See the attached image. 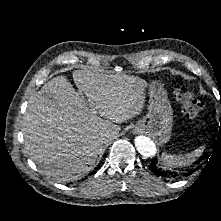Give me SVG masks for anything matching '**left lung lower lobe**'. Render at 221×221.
Segmentation results:
<instances>
[{
	"instance_id": "1",
	"label": "left lung lower lobe",
	"mask_w": 221,
	"mask_h": 221,
	"mask_svg": "<svg viewBox=\"0 0 221 221\" xmlns=\"http://www.w3.org/2000/svg\"><path fill=\"white\" fill-rule=\"evenodd\" d=\"M200 167V166H199ZM198 167V168H199ZM197 168V169H198ZM150 169L152 170V172L158 176H162V177H177V176H188L191 175L194 170L188 172V173H183V174H177L175 172H170V171H165L162 170L158 165H157V158H154L151 163H150Z\"/></svg>"
}]
</instances>
